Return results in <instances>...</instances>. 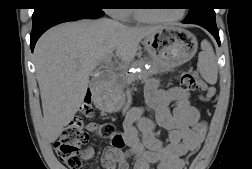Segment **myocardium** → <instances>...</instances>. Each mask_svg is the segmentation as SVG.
Wrapping results in <instances>:
<instances>
[{"instance_id": "1", "label": "myocardium", "mask_w": 252, "mask_h": 169, "mask_svg": "<svg viewBox=\"0 0 252 169\" xmlns=\"http://www.w3.org/2000/svg\"><path fill=\"white\" fill-rule=\"evenodd\" d=\"M133 15L136 20L142 23H168V22H176L181 20L184 17V10H180V12L173 16L167 18H151L143 15L140 9H133Z\"/></svg>"}]
</instances>
